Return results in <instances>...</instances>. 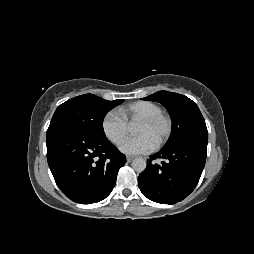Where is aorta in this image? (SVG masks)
I'll list each match as a JSON object with an SVG mask.
<instances>
[{
  "mask_svg": "<svg viewBox=\"0 0 254 254\" xmlns=\"http://www.w3.org/2000/svg\"><path fill=\"white\" fill-rule=\"evenodd\" d=\"M131 166L136 172L141 173L146 169L147 163L143 158H135L132 161Z\"/></svg>",
  "mask_w": 254,
  "mask_h": 254,
  "instance_id": "1",
  "label": "aorta"
}]
</instances>
